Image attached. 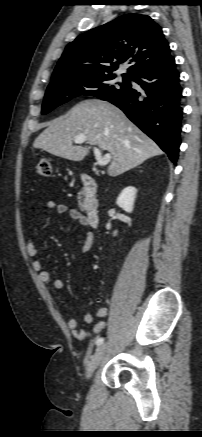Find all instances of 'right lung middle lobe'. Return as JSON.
I'll return each mask as SVG.
<instances>
[{"instance_id":"1","label":"right lung middle lobe","mask_w":202,"mask_h":437,"mask_svg":"<svg viewBox=\"0 0 202 437\" xmlns=\"http://www.w3.org/2000/svg\"><path fill=\"white\" fill-rule=\"evenodd\" d=\"M123 82L114 81L115 74H102L95 76H81L56 80L49 84L43 106L42 114H46L57 106L68 102L72 98L90 95L107 100L117 94L126 92L130 87L128 75L123 74Z\"/></svg>"}]
</instances>
